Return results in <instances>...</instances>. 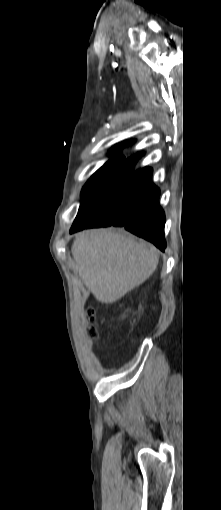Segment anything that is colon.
I'll return each mask as SVG.
<instances>
[{"label": "colon", "instance_id": "5ec220e1", "mask_svg": "<svg viewBox=\"0 0 221 510\" xmlns=\"http://www.w3.org/2000/svg\"><path fill=\"white\" fill-rule=\"evenodd\" d=\"M87 321L89 324H93L94 323V310L92 308H89L87 310ZM87 335L91 338H95L96 337V332L93 328H89L87 330Z\"/></svg>", "mask_w": 221, "mask_h": 510}]
</instances>
